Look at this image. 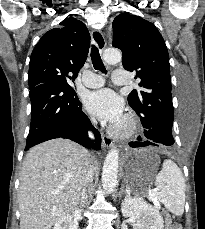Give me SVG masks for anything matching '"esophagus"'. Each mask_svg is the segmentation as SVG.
Segmentation results:
<instances>
[{"mask_svg": "<svg viewBox=\"0 0 205 229\" xmlns=\"http://www.w3.org/2000/svg\"><path fill=\"white\" fill-rule=\"evenodd\" d=\"M91 39H92V42L98 47L100 51L104 50L106 46V42L100 30L93 29L91 32ZM102 143H103V146L106 148L111 147L113 144L111 138L105 135L104 133H102Z\"/></svg>", "mask_w": 205, "mask_h": 229, "instance_id": "esophagus-1", "label": "esophagus"}]
</instances>
